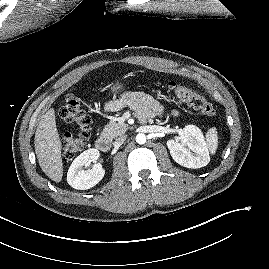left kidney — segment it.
<instances>
[{
  "label": "left kidney",
  "mask_w": 269,
  "mask_h": 269,
  "mask_svg": "<svg viewBox=\"0 0 269 269\" xmlns=\"http://www.w3.org/2000/svg\"><path fill=\"white\" fill-rule=\"evenodd\" d=\"M167 147L174 161L187 168H201L210 161L203 133L194 125H187L180 136L168 140Z\"/></svg>",
  "instance_id": "left-kidney-1"
}]
</instances>
